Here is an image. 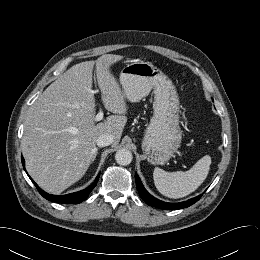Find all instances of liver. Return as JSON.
Listing matches in <instances>:
<instances>
[{"label": "liver", "mask_w": 260, "mask_h": 260, "mask_svg": "<svg viewBox=\"0 0 260 260\" xmlns=\"http://www.w3.org/2000/svg\"><path fill=\"white\" fill-rule=\"evenodd\" d=\"M123 56L105 54L72 66L30 107L21 141L26 169L45 191L59 194L86 173L102 134L121 139L127 104L110 66ZM106 110L114 115L96 124L93 67Z\"/></svg>", "instance_id": "liver-1"}]
</instances>
